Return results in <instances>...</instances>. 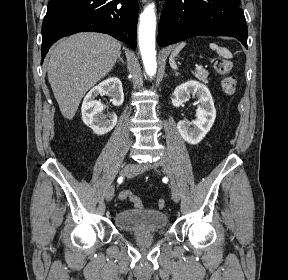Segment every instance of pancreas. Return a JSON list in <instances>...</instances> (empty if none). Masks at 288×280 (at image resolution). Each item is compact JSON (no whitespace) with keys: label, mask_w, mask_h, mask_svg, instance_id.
Masks as SVG:
<instances>
[{"label":"pancreas","mask_w":288,"mask_h":280,"mask_svg":"<svg viewBox=\"0 0 288 280\" xmlns=\"http://www.w3.org/2000/svg\"><path fill=\"white\" fill-rule=\"evenodd\" d=\"M208 74V71L205 69L197 70L194 73L195 77L204 83H208Z\"/></svg>","instance_id":"obj_1"}]
</instances>
